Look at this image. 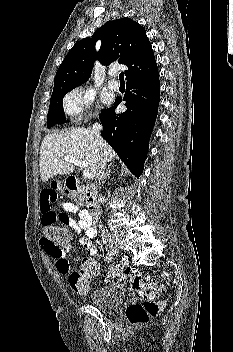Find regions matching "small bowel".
Instances as JSON below:
<instances>
[{"mask_svg":"<svg viewBox=\"0 0 233 352\" xmlns=\"http://www.w3.org/2000/svg\"><path fill=\"white\" fill-rule=\"evenodd\" d=\"M57 190L58 184L52 182L43 187L40 192L39 205L42 223L49 220L54 222L59 220L76 232H84L86 237L79 239L78 246L84 248L89 256L98 257V251L92 242L96 231L92 227L88 211L80 209L71 202H60ZM69 214H76L78 217L73 218ZM40 244L44 252L55 259L56 269L59 273L66 275L69 282V277L75 268L67 260V248L54 246L45 238L41 239Z\"/></svg>","mask_w":233,"mask_h":352,"instance_id":"c3829d8e","label":"small bowel"}]
</instances>
